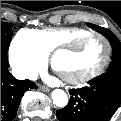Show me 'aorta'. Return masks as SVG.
Instances as JSON below:
<instances>
[{
  "label": "aorta",
  "mask_w": 121,
  "mask_h": 121,
  "mask_svg": "<svg viewBox=\"0 0 121 121\" xmlns=\"http://www.w3.org/2000/svg\"><path fill=\"white\" fill-rule=\"evenodd\" d=\"M53 103L58 107H65L68 103L67 94L61 89H55L51 94Z\"/></svg>",
  "instance_id": "aorta-1"
}]
</instances>
